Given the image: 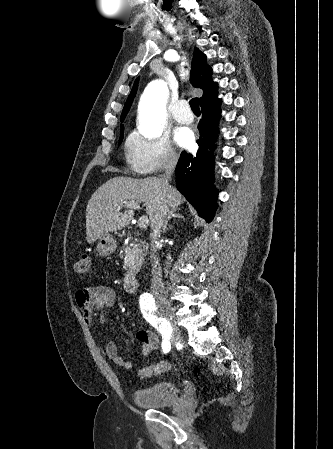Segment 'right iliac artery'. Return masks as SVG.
<instances>
[{"mask_svg":"<svg viewBox=\"0 0 333 449\" xmlns=\"http://www.w3.org/2000/svg\"><path fill=\"white\" fill-rule=\"evenodd\" d=\"M139 303H140L141 311H142L145 319L151 325H153L160 332V334L163 337V342H162L163 352L164 353L169 352L171 349V344L169 341L170 334H171L170 323L164 318L157 317V315L155 314L156 305H155V300L152 297V295H150L148 293L141 295Z\"/></svg>","mask_w":333,"mask_h":449,"instance_id":"obj_1","label":"right iliac artery"}]
</instances>
